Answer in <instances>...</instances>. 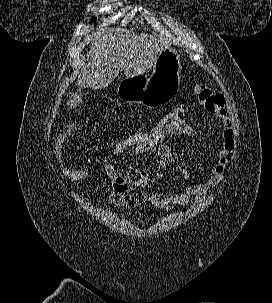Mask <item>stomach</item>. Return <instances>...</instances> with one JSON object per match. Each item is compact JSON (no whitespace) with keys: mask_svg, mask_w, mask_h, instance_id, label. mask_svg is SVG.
<instances>
[{"mask_svg":"<svg viewBox=\"0 0 272 303\" xmlns=\"http://www.w3.org/2000/svg\"><path fill=\"white\" fill-rule=\"evenodd\" d=\"M181 63L179 53L170 46L158 56L150 76L122 80L117 94L123 100L154 107L175 97L180 88Z\"/></svg>","mask_w":272,"mask_h":303,"instance_id":"stomach-1","label":"stomach"}]
</instances>
